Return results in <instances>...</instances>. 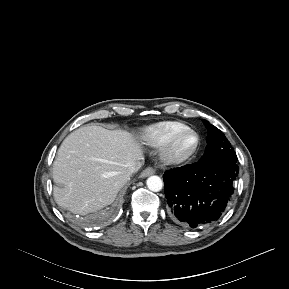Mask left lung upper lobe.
Instances as JSON below:
<instances>
[{"label": "left lung upper lobe", "mask_w": 289, "mask_h": 289, "mask_svg": "<svg viewBox=\"0 0 289 289\" xmlns=\"http://www.w3.org/2000/svg\"><path fill=\"white\" fill-rule=\"evenodd\" d=\"M208 129L207 146L204 155L199 160L202 164L228 165L237 162L236 153L233 151L230 142L225 135L211 125L203 121Z\"/></svg>", "instance_id": "left-lung-upper-lobe-1"}]
</instances>
